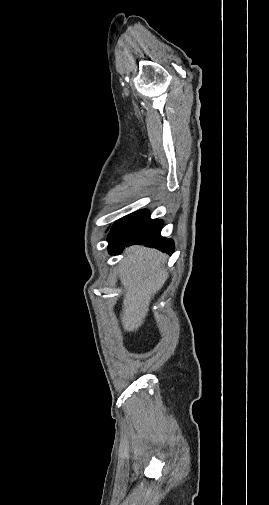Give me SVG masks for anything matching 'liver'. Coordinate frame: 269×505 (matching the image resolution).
<instances>
[{"mask_svg": "<svg viewBox=\"0 0 269 505\" xmlns=\"http://www.w3.org/2000/svg\"><path fill=\"white\" fill-rule=\"evenodd\" d=\"M167 255L155 249L132 246L120 264L125 288L121 321L126 331H136L144 322L153 296L168 278Z\"/></svg>", "mask_w": 269, "mask_h": 505, "instance_id": "liver-1", "label": "liver"}]
</instances>
